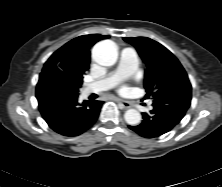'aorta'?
Wrapping results in <instances>:
<instances>
[{"instance_id": "1", "label": "aorta", "mask_w": 222, "mask_h": 187, "mask_svg": "<svg viewBox=\"0 0 222 187\" xmlns=\"http://www.w3.org/2000/svg\"><path fill=\"white\" fill-rule=\"evenodd\" d=\"M116 48L107 42H99L92 49V57L96 63L102 66H112L117 61ZM124 118L127 124L131 126L138 125L142 116L136 109H129L125 112Z\"/></svg>"}]
</instances>
